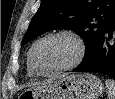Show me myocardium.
Listing matches in <instances>:
<instances>
[{
    "label": "myocardium",
    "instance_id": "f54148a6",
    "mask_svg": "<svg viewBox=\"0 0 115 99\" xmlns=\"http://www.w3.org/2000/svg\"><path fill=\"white\" fill-rule=\"evenodd\" d=\"M54 37H67V38L71 39L76 45L77 52H76L74 59L70 63H68L62 67H59L55 70L44 72V71H41L36 66L35 61H34V52L36 50V47L41 42H43L47 39H50V38H54ZM85 54H86V44H85V41L83 40V38L79 34H77L76 32H74L72 30L61 29V30H56V31L46 33L42 37L38 38L32 44V46L29 50L28 61H29L31 69L34 71V73L36 75H39L42 77H51V76L60 74L62 72H65V71H68V70H71V69L77 67L83 61Z\"/></svg>",
    "mask_w": 115,
    "mask_h": 99
}]
</instances>
